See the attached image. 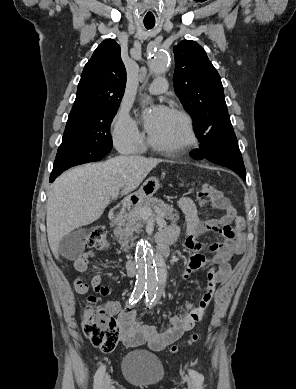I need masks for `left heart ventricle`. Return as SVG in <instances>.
I'll use <instances>...</instances> for the list:
<instances>
[{
	"label": "left heart ventricle",
	"instance_id": "b2bd125f",
	"mask_svg": "<svg viewBox=\"0 0 296 389\" xmlns=\"http://www.w3.org/2000/svg\"><path fill=\"white\" fill-rule=\"evenodd\" d=\"M151 136L156 142L161 144L178 143L185 136L183 122L177 115L168 111L157 130Z\"/></svg>",
	"mask_w": 296,
	"mask_h": 389
}]
</instances>
